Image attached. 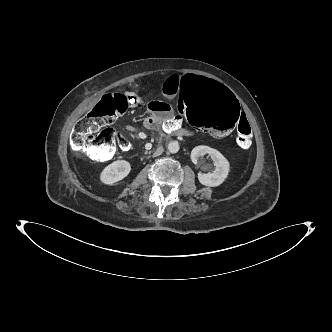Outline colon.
<instances>
[{
	"label": "colon",
	"instance_id": "1",
	"mask_svg": "<svg viewBox=\"0 0 332 332\" xmlns=\"http://www.w3.org/2000/svg\"><path fill=\"white\" fill-rule=\"evenodd\" d=\"M134 98V95L123 93L104 95L75 124L70 138L72 151L97 162L110 160L118 151H128L129 141L107 125L124 113ZM175 98L180 115L205 134L222 137L237 126V145L242 149L250 147L252 131L247 120L238 122V99L208 74L192 72L183 76L176 85Z\"/></svg>",
	"mask_w": 332,
	"mask_h": 332
}]
</instances>
